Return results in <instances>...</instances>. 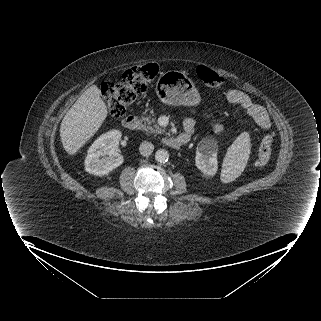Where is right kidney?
I'll return each mask as SVG.
<instances>
[{
  "instance_id": "ca27d5eb",
  "label": "right kidney",
  "mask_w": 321,
  "mask_h": 321,
  "mask_svg": "<svg viewBox=\"0 0 321 321\" xmlns=\"http://www.w3.org/2000/svg\"><path fill=\"white\" fill-rule=\"evenodd\" d=\"M121 138L119 130H111L101 135L88 150L85 159V170L93 175L103 176L120 166L124 159L115 151ZM107 154V157H102Z\"/></svg>"
}]
</instances>
